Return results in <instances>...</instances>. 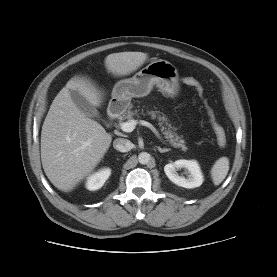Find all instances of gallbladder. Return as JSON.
I'll list each match as a JSON object with an SVG mask.
<instances>
[{
  "instance_id": "obj_1",
  "label": "gallbladder",
  "mask_w": 277,
  "mask_h": 277,
  "mask_svg": "<svg viewBox=\"0 0 277 277\" xmlns=\"http://www.w3.org/2000/svg\"><path fill=\"white\" fill-rule=\"evenodd\" d=\"M70 96L80 111L88 117L100 119L98 110L77 90H71Z\"/></svg>"
}]
</instances>
